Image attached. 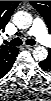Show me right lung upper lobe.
I'll use <instances>...</instances> for the list:
<instances>
[{
    "label": "right lung upper lobe",
    "instance_id": "cb5924a9",
    "mask_svg": "<svg viewBox=\"0 0 51 101\" xmlns=\"http://www.w3.org/2000/svg\"><path fill=\"white\" fill-rule=\"evenodd\" d=\"M20 1H1L0 2V31H4L12 12L18 6ZM19 50L15 47L1 46L0 52V70L3 71L13 60L16 59Z\"/></svg>",
    "mask_w": 51,
    "mask_h": 101
}]
</instances>
